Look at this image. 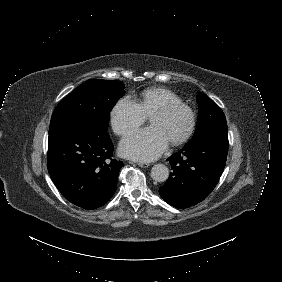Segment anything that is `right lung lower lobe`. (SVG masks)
Here are the masks:
<instances>
[{"label": "right lung lower lobe", "instance_id": "obj_1", "mask_svg": "<svg viewBox=\"0 0 282 282\" xmlns=\"http://www.w3.org/2000/svg\"><path fill=\"white\" fill-rule=\"evenodd\" d=\"M112 153L108 133L73 124L49 134L47 167L67 200L93 210L107 203L116 191L124 164L113 159Z\"/></svg>", "mask_w": 282, "mask_h": 282}]
</instances>
